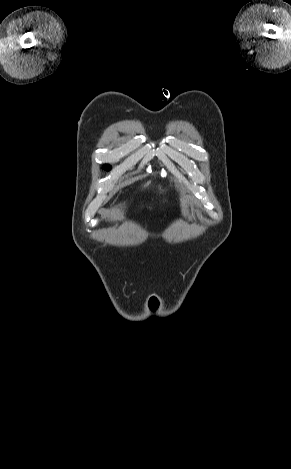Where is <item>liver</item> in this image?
Segmentation results:
<instances>
[{"mask_svg": "<svg viewBox=\"0 0 291 469\" xmlns=\"http://www.w3.org/2000/svg\"><path fill=\"white\" fill-rule=\"evenodd\" d=\"M150 182H147L146 186L149 184Z\"/></svg>", "mask_w": 291, "mask_h": 469, "instance_id": "obj_1", "label": "liver"}]
</instances>
